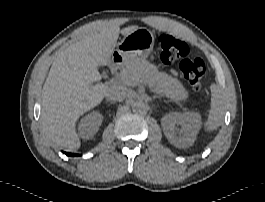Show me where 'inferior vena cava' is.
<instances>
[{
  "instance_id": "602c4592",
  "label": "inferior vena cava",
  "mask_w": 265,
  "mask_h": 202,
  "mask_svg": "<svg viewBox=\"0 0 265 202\" xmlns=\"http://www.w3.org/2000/svg\"><path fill=\"white\" fill-rule=\"evenodd\" d=\"M106 99L111 102H120L129 97V90L121 85H112L106 91Z\"/></svg>"
}]
</instances>
